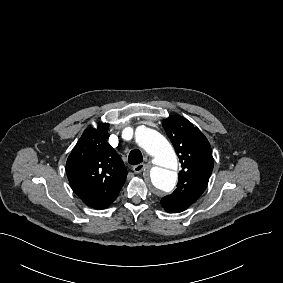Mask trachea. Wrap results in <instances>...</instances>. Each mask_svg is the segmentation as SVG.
I'll return each instance as SVG.
<instances>
[{
  "mask_svg": "<svg viewBox=\"0 0 283 283\" xmlns=\"http://www.w3.org/2000/svg\"><path fill=\"white\" fill-rule=\"evenodd\" d=\"M143 161V156L140 150L134 149L128 155V162L131 165L140 164Z\"/></svg>",
  "mask_w": 283,
  "mask_h": 283,
  "instance_id": "1",
  "label": "trachea"
}]
</instances>
